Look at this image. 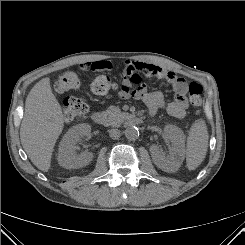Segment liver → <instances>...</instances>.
I'll use <instances>...</instances> for the list:
<instances>
[{
	"label": "liver",
	"instance_id": "6515ba94",
	"mask_svg": "<svg viewBox=\"0 0 245 245\" xmlns=\"http://www.w3.org/2000/svg\"><path fill=\"white\" fill-rule=\"evenodd\" d=\"M64 127L62 108L52 93L50 79H41L29 92L20 127L21 144L31 162L47 172L55 143Z\"/></svg>",
	"mask_w": 245,
	"mask_h": 245
}]
</instances>
